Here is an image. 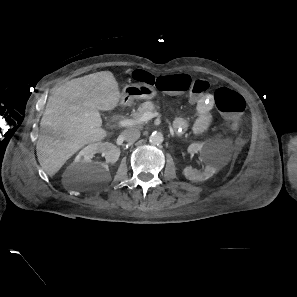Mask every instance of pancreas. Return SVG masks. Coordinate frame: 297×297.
Here are the masks:
<instances>
[{
    "label": "pancreas",
    "instance_id": "obj_1",
    "mask_svg": "<svg viewBox=\"0 0 297 297\" xmlns=\"http://www.w3.org/2000/svg\"><path fill=\"white\" fill-rule=\"evenodd\" d=\"M145 112H152V113L156 112L155 104L152 101H146L142 103L139 106L138 110L132 113L131 116L133 117V119L138 118Z\"/></svg>",
    "mask_w": 297,
    "mask_h": 297
}]
</instances>
